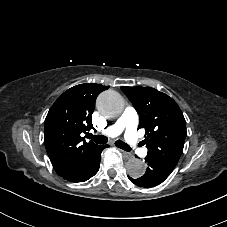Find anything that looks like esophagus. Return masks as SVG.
<instances>
[{
	"mask_svg": "<svg viewBox=\"0 0 227 227\" xmlns=\"http://www.w3.org/2000/svg\"><path fill=\"white\" fill-rule=\"evenodd\" d=\"M123 154V156L126 158V159H132L134 156L133 154L129 153V152H126L124 150H120Z\"/></svg>",
	"mask_w": 227,
	"mask_h": 227,
	"instance_id": "34e87169",
	"label": "esophagus"
}]
</instances>
